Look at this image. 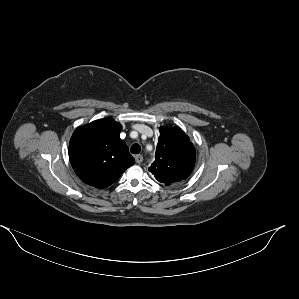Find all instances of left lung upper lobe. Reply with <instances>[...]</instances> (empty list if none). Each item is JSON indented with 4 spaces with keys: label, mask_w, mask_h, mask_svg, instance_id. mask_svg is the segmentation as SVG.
<instances>
[{
    "label": "left lung upper lobe",
    "mask_w": 299,
    "mask_h": 299,
    "mask_svg": "<svg viewBox=\"0 0 299 299\" xmlns=\"http://www.w3.org/2000/svg\"><path fill=\"white\" fill-rule=\"evenodd\" d=\"M155 161L149 171L162 183L187 179L195 165L196 152L189 137L178 127H160Z\"/></svg>",
    "instance_id": "obj_1"
}]
</instances>
